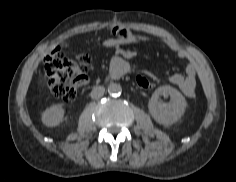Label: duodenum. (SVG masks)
I'll use <instances>...</instances> for the list:
<instances>
[{
  "mask_svg": "<svg viewBox=\"0 0 236 182\" xmlns=\"http://www.w3.org/2000/svg\"><path fill=\"white\" fill-rule=\"evenodd\" d=\"M127 63L122 59L115 60L112 63L111 70L108 74V78H121L127 74Z\"/></svg>",
  "mask_w": 236,
  "mask_h": 182,
  "instance_id": "410a0bca",
  "label": "duodenum"
}]
</instances>
